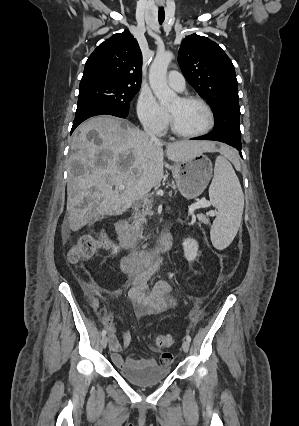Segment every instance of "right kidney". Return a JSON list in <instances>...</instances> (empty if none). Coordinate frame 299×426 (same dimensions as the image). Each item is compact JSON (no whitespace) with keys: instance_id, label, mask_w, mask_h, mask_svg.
<instances>
[{"instance_id":"1","label":"right kidney","mask_w":299,"mask_h":426,"mask_svg":"<svg viewBox=\"0 0 299 426\" xmlns=\"http://www.w3.org/2000/svg\"><path fill=\"white\" fill-rule=\"evenodd\" d=\"M118 251H119V247H118V246L113 245V248H112V254H113V255H115V254H117V253H118Z\"/></svg>"}]
</instances>
